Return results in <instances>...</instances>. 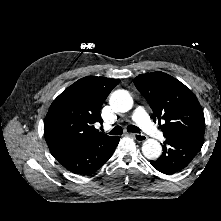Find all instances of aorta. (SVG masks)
Instances as JSON below:
<instances>
[{
    "instance_id": "762f6f07",
    "label": "aorta",
    "mask_w": 221,
    "mask_h": 221,
    "mask_svg": "<svg viewBox=\"0 0 221 221\" xmlns=\"http://www.w3.org/2000/svg\"><path fill=\"white\" fill-rule=\"evenodd\" d=\"M110 105L117 112H127L133 106V99L126 90H116L110 96ZM142 153L149 160H156L162 153L157 140L147 139L142 145Z\"/></svg>"
}]
</instances>
